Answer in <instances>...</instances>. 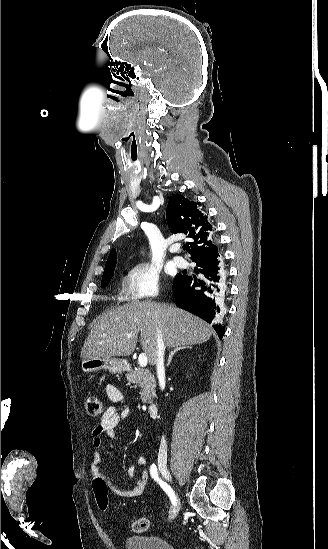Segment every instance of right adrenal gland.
Returning <instances> with one entry per match:
<instances>
[{"instance_id": "obj_1", "label": "right adrenal gland", "mask_w": 328, "mask_h": 549, "mask_svg": "<svg viewBox=\"0 0 328 549\" xmlns=\"http://www.w3.org/2000/svg\"><path fill=\"white\" fill-rule=\"evenodd\" d=\"M181 349H192V347H179V349H174V351H171V353L169 355V359H168V365H169L170 361H172L173 355H175V353H177V351H181Z\"/></svg>"}]
</instances>
